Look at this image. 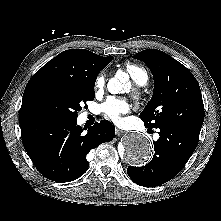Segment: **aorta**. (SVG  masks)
Returning a JSON list of instances; mask_svg holds the SVG:
<instances>
[{"label":"aorta","instance_id":"aorta-1","mask_svg":"<svg viewBox=\"0 0 221 221\" xmlns=\"http://www.w3.org/2000/svg\"><path fill=\"white\" fill-rule=\"evenodd\" d=\"M129 81V76L123 71H118L115 77L111 78L107 88L111 94L125 93ZM120 155L132 165H143L152 156V146L150 140L139 132L128 134L122 142Z\"/></svg>","mask_w":221,"mask_h":221}]
</instances>
